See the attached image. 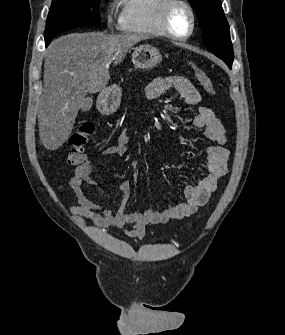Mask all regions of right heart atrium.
<instances>
[{
	"label": "right heart atrium",
	"instance_id": "1",
	"mask_svg": "<svg viewBox=\"0 0 285 335\" xmlns=\"http://www.w3.org/2000/svg\"><path fill=\"white\" fill-rule=\"evenodd\" d=\"M116 18V11L114 9H109L105 12V19L108 24H112Z\"/></svg>",
	"mask_w": 285,
	"mask_h": 335
}]
</instances>
